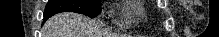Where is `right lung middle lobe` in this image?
<instances>
[{
    "label": "right lung middle lobe",
    "instance_id": "1",
    "mask_svg": "<svg viewBox=\"0 0 219 37\" xmlns=\"http://www.w3.org/2000/svg\"><path fill=\"white\" fill-rule=\"evenodd\" d=\"M66 11L94 18L100 14L101 4L99 0H50L46 5L44 15H54Z\"/></svg>",
    "mask_w": 219,
    "mask_h": 37
}]
</instances>
